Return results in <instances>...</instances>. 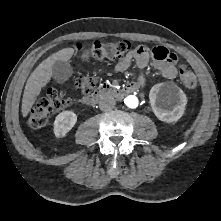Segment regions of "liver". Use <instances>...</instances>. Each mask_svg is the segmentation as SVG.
<instances>
[{"mask_svg":"<svg viewBox=\"0 0 221 221\" xmlns=\"http://www.w3.org/2000/svg\"><path fill=\"white\" fill-rule=\"evenodd\" d=\"M74 54L73 48H64L59 50L56 53L50 55L47 59L42 61L38 67L31 73L29 76L22 98V115L26 117L30 112L32 106L37 100L38 95L40 94L43 87H45L52 75V67L55 61H68L71 59Z\"/></svg>","mask_w":221,"mask_h":221,"instance_id":"obj_1","label":"liver"}]
</instances>
